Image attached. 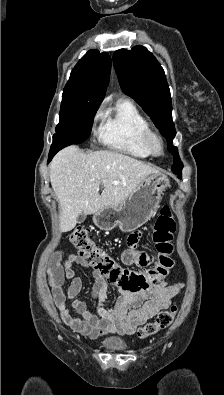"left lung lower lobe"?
Returning <instances> with one entry per match:
<instances>
[{
    "mask_svg": "<svg viewBox=\"0 0 224 395\" xmlns=\"http://www.w3.org/2000/svg\"><path fill=\"white\" fill-rule=\"evenodd\" d=\"M183 168V165L180 164L178 168L175 169L174 173L178 175V177H181V169Z\"/></svg>",
    "mask_w": 224,
    "mask_h": 395,
    "instance_id": "1",
    "label": "left lung lower lobe"
}]
</instances>
